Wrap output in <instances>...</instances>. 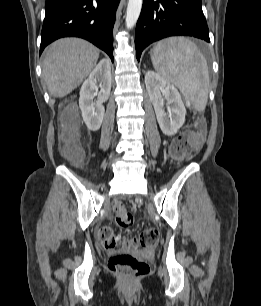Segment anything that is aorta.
I'll return each mask as SVG.
<instances>
[{
    "mask_svg": "<svg viewBox=\"0 0 261 306\" xmlns=\"http://www.w3.org/2000/svg\"><path fill=\"white\" fill-rule=\"evenodd\" d=\"M143 0H129L126 11V27L132 29L139 18Z\"/></svg>",
    "mask_w": 261,
    "mask_h": 306,
    "instance_id": "762f6f07",
    "label": "aorta"
}]
</instances>
